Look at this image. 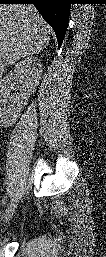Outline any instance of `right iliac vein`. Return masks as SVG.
<instances>
[{
    "label": "right iliac vein",
    "mask_w": 106,
    "mask_h": 257,
    "mask_svg": "<svg viewBox=\"0 0 106 257\" xmlns=\"http://www.w3.org/2000/svg\"><path fill=\"white\" fill-rule=\"evenodd\" d=\"M17 207V203L15 201L11 202V204L7 207L4 214V222L7 223L13 217L15 209Z\"/></svg>",
    "instance_id": "1"
}]
</instances>
